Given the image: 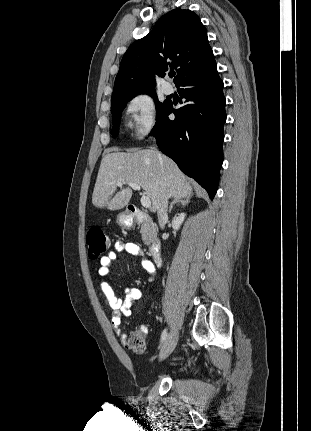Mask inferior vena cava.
Listing matches in <instances>:
<instances>
[{
    "instance_id": "1",
    "label": "inferior vena cava",
    "mask_w": 311,
    "mask_h": 431,
    "mask_svg": "<svg viewBox=\"0 0 311 431\" xmlns=\"http://www.w3.org/2000/svg\"><path fill=\"white\" fill-rule=\"evenodd\" d=\"M158 154V158H160L161 160V154H159V152H157ZM165 182H162V188H164L162 194H160L159 196V206L157 208V216H158V221H159V225L160 227H162V229H164L165 227V221H167L168 219V194H166L165 192Z\"/></svg>"
}]
</instances>
